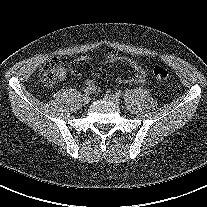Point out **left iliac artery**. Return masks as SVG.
I'll list each match as a JSON object with an SVG mask.
<instances>
[{
	"label": "left iliac artery",
	"mask_w": 207,
	"mask_h": 207,
	"mask_svg": "<svg viewBox=\"0 0 207 207\" xmlns=\"http://www.w3.org/2000/svg\"><path fill=\"white\" fill-rule=\"evenodd\" d=\"M116 96L121 97L123 95V92L121 90H118L115 92Z\"/></svg>",
	"instance_id": "1"
}]
</instances>
